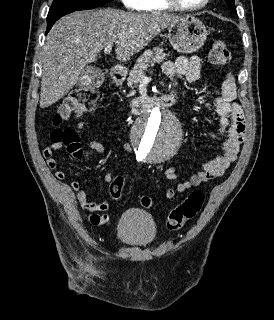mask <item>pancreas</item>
<instances>
[{"instance_id":"pancreas-1","label":"pancreas","mask_w":274,"mask_h":320,"mask_svg":"<svg viewBox=\"0 0 274 320\" xmlns=\"http://www.w3.org/2000/svg\"><path fill=\"white\" fill-rule=\"evenodd\" d=\"M169 54H165L163 48H153V50H146L140 58H138L133 70L127 78V86L129 88H135V84H138L141 76H143V70L150 68L155 62H164L167 60ZM130 106L134 108L135 102H131Z\"/></svg>"}]
</instances>
